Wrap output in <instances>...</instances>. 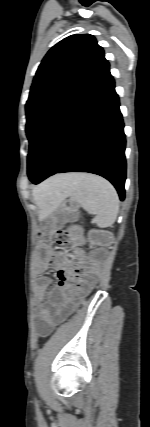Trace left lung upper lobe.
Instances as JSON below:
<instances>
[{
	"label": "left lung upper lobe",
	"mask_w": 150,
	"mask_h": 427,
	"mask_svg": "<svg viewBox=\"0 0 150 427\" xmlns=\"http://www.w3.org/2000/svg\"><path fill=\"white\" fill-rule=\"evenodd\" d=\"M109 67L94 36H69L42 60L26 104V133H35L91 81Z\"/></svg>",
	"instance_id": "left-lung-upper-lobe-1"
}]
</instances>
